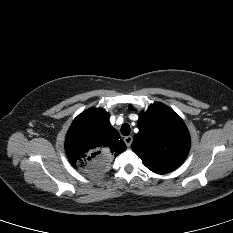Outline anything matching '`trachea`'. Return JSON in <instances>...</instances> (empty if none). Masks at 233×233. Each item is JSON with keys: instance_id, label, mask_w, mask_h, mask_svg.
Masks as SVG:
<instances>
[{"instance_id": "obj_1", "label": "trachea", "mask_w": 233, "mask_h": 233, "mask_svg": "<svg viewBox=\"0 0 233 233\" xmlns=\"http://www.w3.org/2000/svg\"><path fill=\"white\" fill-rule=\"evenodd\" d=\"M130 126H129V124H123L122 126H121V133H122V135H124V136H128L129 134H130Z\"/></svg>"}]
</instances>
